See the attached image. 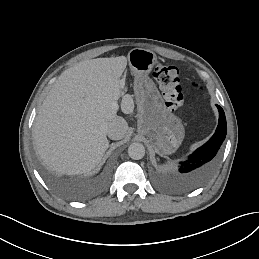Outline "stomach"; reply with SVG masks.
<instances>
[{"mask_svg": "<svg viewBox=\"0 0 259 259\" xmlns=\"http://www.w3.org/2000/svg\"><path fill=\"white\" fill-rule=\"evenodd\" d=\"M128 62L134 75H146L157 64V56L151 50L135 48L128 53Z\"/></svg>", "mask_w": 259, "mask_h": 259, "instance_id": "1", "label": "stomach"}]
</instances>
